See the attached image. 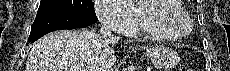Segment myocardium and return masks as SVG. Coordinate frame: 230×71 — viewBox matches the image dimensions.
<instances>
[{
  "label": "myocardium",
  "mask_w": 230,
  "mask_h": 71,
  "mask_svg": "<svg viewBox=\"0 0 230 71\" xmlns=\"http://www.w3.org/2000/svg\"><path fill=\"white\" fill-rule=\"evenodd\" d=\"M179 4V0H146L140 5L143 20L163 38L183 39L192 32L193 22L182 4ZM167 18H171L172 25H168Z\"/></svg>",
  "instance_id": "f54148a6"
}]
</instances>
